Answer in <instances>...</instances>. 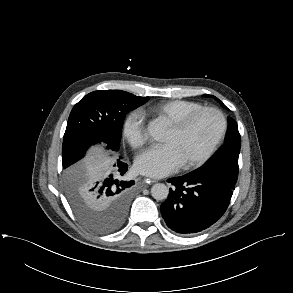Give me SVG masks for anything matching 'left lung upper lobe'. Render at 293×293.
Returning a JSON list of instances; mask_svg holds the SVG:
<instances>
[{
  "label": "left lung upper lobe",
  "instance_id": "left-lung-upper-lobe-1",
  "mask_svg": "<svg viewBox=\"0 0 293 293\" xmlns=\"http://www.w3.org/2000/svg\"><path fill=\"white\" fill-rule=\"evenodd\" d=\"M214 98L224 108H227L218 98ZM228 124L224 145L204 165L195 171L202 174L221 176L236 183L239 169L240 134L235 120L229 117Z\"/></svg>",
  "mask_w": 293,
  "mask_h": 293
}]
</instances>
